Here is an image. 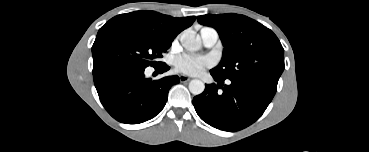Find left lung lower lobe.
Here are the masks:
<instances>
[{
	"mask_svg": "<svg viewBox=\"0 0 369 152\" xmlns=\"http://www.w3.org/2000/svg\"><path fill=\"white\" fill-rule=\"evenodd\" d=\"M211 75L218 84L205 85L204 92L193 98V105L203 121L228 132L239 131L254 123L277 90L276 84L257 80L230 79V84L226 85L224 79Z\"/></svg>",
	"mask_w": 369,
	"mask_h": 152,
	"instance_id": "left-lung-lower-lobe-1",
	"label": "left lung lower lobe"
}]
</instances>
